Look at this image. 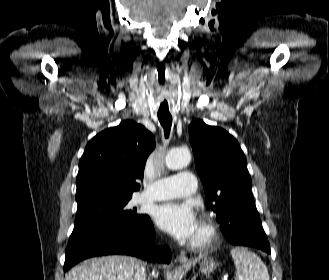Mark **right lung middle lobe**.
I'll return each instance as SVG.
<instances>
[{
    "label": "right lung middle lobe",
    "mask_w": 329,
    "mask_h": 280,
    "mask_svg": "<svg viewBox=\"0 0 329 280\" xmlns=\"http://www.w3.org/2000/svg\"><path fill=\"white\" fill-rule=\"evenodd\" d=\"M130 199L108 195L76 199L78 207L73 231L98 221L119 224L132 230L140 229L150 218L137 213L136 208L130 209L127 205Z\"/></svg>",
    "instance_id": "right-lung-middle-lobe-1"
}]
</instances>
